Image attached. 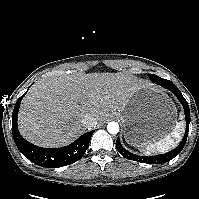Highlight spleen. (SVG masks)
Wrapping results in <instances>:
<instances>
[{"instance_id": "obj_1", "label": "spleen", "mask_w": 199, "mask_h": 199, "mask_svg": "<svg viewBox=\"0 0 199 199\" xmlns=\"http://www.w3.org/2000/svg\"><path fill=\"white\" fill-rule=\"evenodd\" d=\"M182 125L177 123L170 134L155 141H145L140 144H134L141 152L145 154L165 153L172 149L181 139Z\"/></svg>"}]
</instances>
